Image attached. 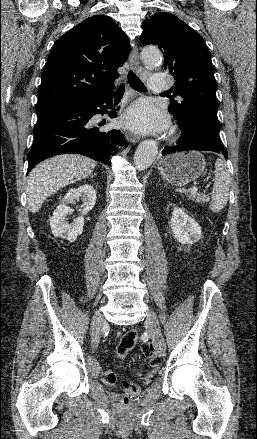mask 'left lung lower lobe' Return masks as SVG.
I'll list each match as a JSON object with an SVG mask.
<instances>
[{"label": "left lung lower lobe", "mask_w": 257, "mask_h": 439, "mask_svg": "<svg viewBox=\"0 0 257 439\" xmlns=\"http://www.w3.org/2000/svg\"><path fill=\"white\" fill-rule=\"evenodd\" d=\"M176 120L182 130V136L177 146L165 147L162 155L182 150H203L216 152L228 158V153L219 137L220 129L216 126L200 117Z\"/></svg>", "instance_id": "0a47b994"}]
</instances>
